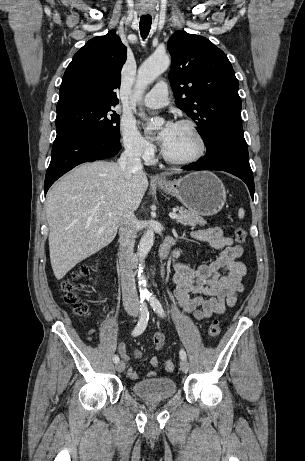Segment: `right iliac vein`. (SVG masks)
Returning a JSON list of instances; mask_svg holds the SVG:
<instances>
[{"instance_id":"obj_1","label":"right iliac vein","mask_w":305,"mask_h":461,"mask_svg":"<svg viewBox=\"0 0 305 461\" xmlns=\"http://www.w3.org/2000/svg\"><path fill=\"white\" fill-rule=\"evenodd\" d=\"M128 313L131 315V316H136V310L131 308L128 310ZM125 369V362L124 361H120L116 364V370L118 372H123Z\"/></svg>"}]
</instances>
